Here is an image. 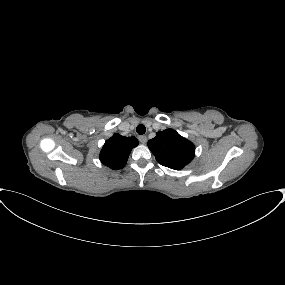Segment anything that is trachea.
I'll use <instances>...</instances> for the list:
<instances>
[{"label": "trachea", "mask_w": 285, "mask_h": 285, "mask_svg": "<svg viewBox=\"0 0 285 285\" xmlns=\"http://www.w3.org/2000/svg\"><path fill=\"white\" fill-rule=\"evenodd\" d=\"M136 131L142 135L146 132V127L143 124H139L136 128Z\"/></svg>", "instance_id": "trachea-1"}]
</instances>
